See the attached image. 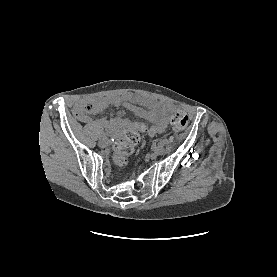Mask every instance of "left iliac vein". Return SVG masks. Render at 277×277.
Masks as SVG:
<instances>
[{
    "label": "left iliac vein",
    "instance_id": "4c4485c4",
    "mask_svg": "<svg viewBox=\"0 0 277 277\" xmlns=\"http://www.w3.org/2000/svg\"><path fill=\"white\" fill-rule=\"evenodd\" d=\"M153 153L156 155H162L164 153V147L162 145H157L153 148Z\"/></svg>",
    "mask_w": 277,
    "mask_h": 277
}]
</instances>
